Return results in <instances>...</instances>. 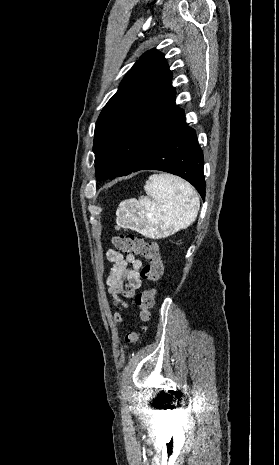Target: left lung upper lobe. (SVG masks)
<instances>
[{
    "instance_id": "obj_1",
    "label": "left lung upper lobe",
    "mask_w": 279,
    "mask_h": 465,
    "mask_svg": "<svg viewBox=\"0 0 279 465\" xmlns=\"http://www.w3.org/2000/svg\"><path fill=\"white\" fill-rule=\"evenodd\" d=\"M171 79L164 56L155 49L129 70L96 122L97 179L130 174L184 116Z\"/></svg>"
}]
</instances>
